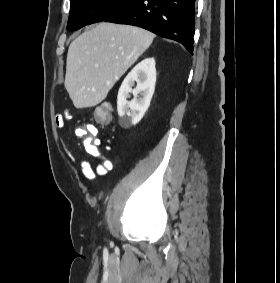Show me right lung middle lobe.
Instances as JSON below:
<instances>
[{
	"label": "right lung middle lobe",
	"instance_id": "obj_1",
	"mask_svg": "<svg viewBox=\"0 0 280 283\" xmlns=\"http://www.w3.org/2000/svg\"><path fill=\"white\" fill-rule=\"evenodd\" d=\"M132 0H71L67 29L74 31L101 22Z\"/></svg>",
	"mask_w": 280,
	"mask_h": 283
}]
</instances>
